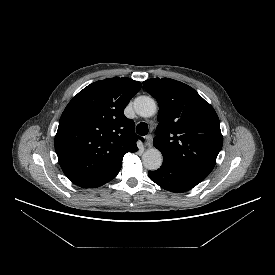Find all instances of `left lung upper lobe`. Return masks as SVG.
<instances>
[{
  "mask_svg": "<svg viewBox=\"0 0 275 275\" xmlns=\"http://www.w3.org/2000/svg\"><path fill=\"white\" fill-rule=\"evenodd\" d=\"M159 104L154 146L163 161L205 178L214 168L223 144L219 118L193 88L170 78L143 82Z\"/></svg>",
  "mask_w": 275,
  "mask_h": 275,
  "instance_id": "5c2ea615",
  "label": "left lung upper lobe"
}]
</instances>
